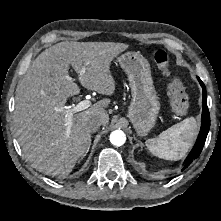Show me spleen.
<instances>
[{
	"mask_svg": "<svg viewBox=\"0 0 221 221\" xmlns=\"http://www.w3.org/2000/svg\"><path fill=\"white\" fill-rule=\"evenodd\" d=\"M197 130L195 118L189 117L163 131L157 138L148 139L145 143L153 155L166 160H179L191 148Z\"/></svg>",
	"mask_w": 221,
	"mask_h": 221,
	"instance_id": "1",
	"label": "spleen"
}]
</instances>
